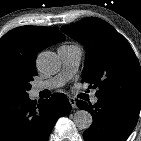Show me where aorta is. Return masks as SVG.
Returning a JSON list of instances; mask_svg holds the SVG:
<instances>
[{
	"instance_id": "aorta-1",
	"label": "aorta",
	"mask_w": 141,
	"mask_h": 141,
	"mask_svg": "<svg viewBox=\"0 0 141 141\" xmlns=\"http://www.w3.org/2000/svg\"><path fill=\"white\" fill-rule=\"evenodd\" d=\"M36 64L38 70L47 75L57 73L61 67L57 54L51 51L41 52L37 57ZM73 121L77 128L86 130L91 126L93 118L88 111L78 110L74 114Z\"/></svg>"
}]
</instances>
